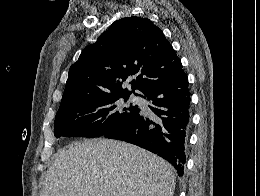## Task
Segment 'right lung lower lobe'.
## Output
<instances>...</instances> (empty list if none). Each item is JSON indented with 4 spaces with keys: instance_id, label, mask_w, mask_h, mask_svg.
<instances>
[{
    "instance_id": "1",
    "label": "right lung lower lobe",
    "mask_w": 260,
    "mask_h": 196,
    "mask_svg": "<svg viewBox=\"0 0 260 196\" xmlns=\"http://www.w3.org/2000/svg\"><path fill=\"white\" fill-rule=\"evenodd\" d=\"M181 70L174 78L143 90L151 114L104 135L149 150L169 161L182 176L190 126V91Z\"/></svg>"
}]
</instances>
